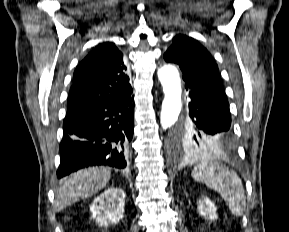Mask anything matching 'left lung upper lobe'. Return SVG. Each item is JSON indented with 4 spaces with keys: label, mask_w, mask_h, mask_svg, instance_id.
I'll return each instance as SVG.
<instances>
[{
    "label": "left lung upper lobe",
    "mask_w": 289,
    "mask_h": 232,
    "mask_svg": "<svg viewBox=\"0 0 289 232\" xmlns=\"http://www.w3.org/2000/svg\"><path fill=\"white\" fill-rule=\"evenodd\" d=\"M164 59L180 66L184 75L201 77L222 87L218 67L210 53L193 38L177 35L165 52ZM176 146L188 151H207L212 148L208 142L200 139L190 128L179 127L174 137Z\"/></svg>",
    "instance_id": "left-lung-upper-lobe-1"
}]
</instances>
